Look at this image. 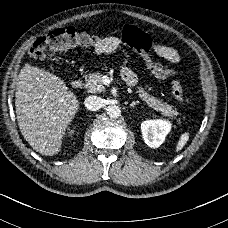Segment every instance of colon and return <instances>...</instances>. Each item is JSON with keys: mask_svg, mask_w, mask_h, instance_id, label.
I'll return each mask as SVG.
<instances>
[{"mask_svg": "<svg viewBox=\"0 0 228 228\" xmlns=\"http://www.w3.org/2000/svg\"><path fill=\"white\" fill-rule=\"evenodd\" d=\"M99 41H105L108 45V41L83 30H78L74 27L60 28L40 37L35 42L30 54L35 60H43L52 57L58 51L93 48ZM179 78L180 76H173L171 89L173 96L177 100L182 101L184 99V92Z\"/></svg>", "mask_w": 228, "mask_h": 228, "instance_id": "1", "label": "colon"}]
</instances>
